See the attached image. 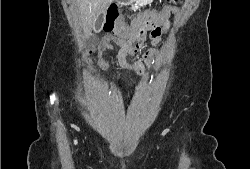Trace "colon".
<instances>
[{"label": "colon", "mask_w": 250, "mask_h": 169, "mask_svg": "<svg viewBox=\"0 0 250 169\" xmlns=\"http://www.w3.org/2000/svg\"><path fill=\"white\" fill-rule=\"evenodd\" d=\"M163 3H172L173 0H162ZM126 29L124 19L119 9L113 7L108 10L105 16V21L102 25V30L105 33H120ZM150 32L152 37H159L162 34L161 27L152 24L149 21L140 22L136 33L133 36L131 49L134 52H139L142 49V44L146 38L147 32Z\"/></svg>", "instance_id": "colon-1"}]
</instances>
